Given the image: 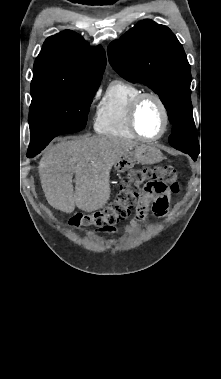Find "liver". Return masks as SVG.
Instances as JSON below:
<instances>
[{
	"label": "liver",
	"mask_w": 221,
	"mask_h": 379,
	"mask_svg": "<svg viewBox=\"0 0 221 379\" xmlns=\"http://www.w3.org/2000/svg\"><path fill=\"white\" fill-rule=\"evenodd\" d=\"M136 146V142L111 136L85 137L49 146L38 167L48 203L66 213H72L76 206L85 212L103 208L110 198L112 166Z\"/></svg>",
	"instance_id": "1"
}]
</instances>
